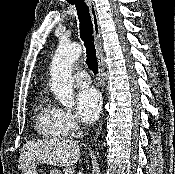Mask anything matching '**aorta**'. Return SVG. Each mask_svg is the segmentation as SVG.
Here are the masks:
<instances>
[{
	"mask_svg": "<svg viewBox=\"0 0 175 174\" xmlns=\"http://www.w3.org/2000/svg\"><path fill=\"white\" fill-rule=\"evenodd\" d=\"M82 54L78 43L61 42L50 65L51 90L65 107L75 105L72 81V66Z\"/></svg>",
	"mask_w": 175,
	"mask_h": 174,
	"instance_id": "aorta-1",
	"label": "aorta"
}]
</instances>
